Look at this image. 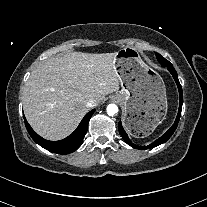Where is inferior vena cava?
<instances>
[{"instance_id": "obj_1", "label": "inferior vena cava", "mask_w": 207, "mask_h": 207, "mask_svg": "<svg viewBox=\"0 0 207 207\" xmlns=\"http://www.w3.org/2000/svg\"><path fill=\"white\" fill-rule=\"evenodd\" d=\"M98 105V102L96 99H89V101L86 103V106L87 107H94V106H97Z\"/></svg>"}]
</instances>
